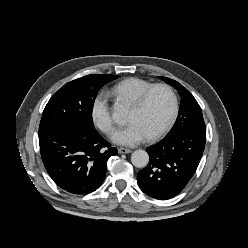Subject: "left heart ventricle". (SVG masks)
Returning a JSON list of instances; mask_svg holds the SVG:
<instances>
[{"label":"left heart ventricle","mask_w":248,"mask_h":248,"mask_svg":"<svg viewBox=\"0 0 248 248\" xmlns=\"http://www.w3.org/2000/svg\"><path fill=\"white\" fill-rule=\"evenodd\" d=\"M171 97L165 89H156L141 109L130 107L127 122L137 123L149 137L158 131L171 111Z\"/></svg>","instance_id":"left-heart-ventricle-1"}]
</instances>
